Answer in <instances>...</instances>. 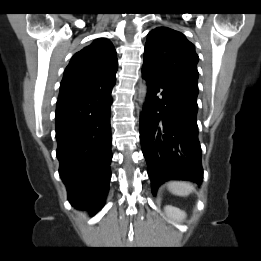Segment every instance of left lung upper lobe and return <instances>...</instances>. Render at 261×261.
I'll list each match as a JSON object with an SVG mask.
<instances>
[{"mask_svg": "<svg viewBox=\"0 0 261 261\" xmlns=\"http://www.w3.org/2000/svg\"><path fill=\"white\" fill-rule=\"evenodd\" d=\"M198 61L195 46L181 32L168 27L149 32L143 68L198 91Z\"/></svg>", "mask_w": 261, "mask_h": 261, "instance_id": "1", "label": "left lung upper lobe"}]
</instances>
